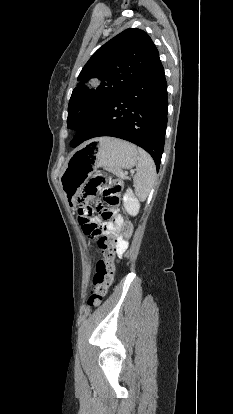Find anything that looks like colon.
I'll use <instances>...</instances> for the list:
<instances>
[{
  "instance_id": "1",
  "label": "colon",
  "mask_w": 233,
  "mask_h": 414,
  "mask_svg": "<svg viewBox=\"0 0 233 414\" xmlns=\"http://www.w3.org/2000/svg\"><path fill=\"white\" fill-rule=\"evenodd\" d=\"M122 190V182L109 174L99 172L91 177L85 185L82 195L76 203L79 205V221L86 235L95 238L104 259L100 260L96 265L95 274L93 276V288L89 295L88 304L90 306L99 305L106 296L110 286L115 278V266L113 259L119 250L118 241L111 235H102L100 230L89 223L90 212L85 206L86 199L98 193L102 195L103 203L99 209L105 217L109 216L110 208L115 206L119 201V194ZM133 227L129 220L123 221L124 239H129L132 235ZM123 248V247H122Z\"/></svg>"
}]
</instances>
